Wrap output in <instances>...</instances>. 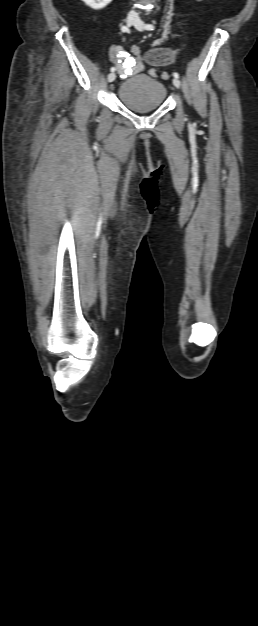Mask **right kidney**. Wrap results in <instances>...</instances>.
<instances>
[{
    "label": "right kidney",
    "instance_id": "obj_1",
    "mask_svg": "<svg viewBox=\"0 0 258 626\" xmlns=\"http://www.w3.org/2000/svg\"><path fill=\"white\" fill-rule=\"evenodd\" d=\"M87 6L91 7L94 10L103 9L113 0H82Z\"/></svg>",
    "mask_w": 258,
    "mask_h": 626
}]
</instances>
